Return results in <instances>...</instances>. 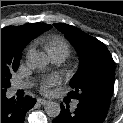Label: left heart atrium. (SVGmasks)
Segmentation results:
<instances>
[{"label": "left heart atrium", "mask_w": 123, "mask_h": 123, "mask_svg": "<svg viewBox=\"0 0 123 123\" xmlns=\"http://www.w3.org/2000/svg\"><path fill=\"white\" fill-rule=\"evenodd\" d=\"M59 81V78L55 75H51L48 77H45L42 81H41V90L43 92H48L50 90V88L55 85L57 82Z\"/></svg>", "instance_id": "1"}]
</instances>
